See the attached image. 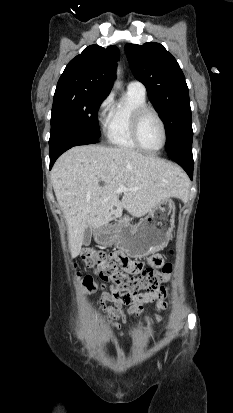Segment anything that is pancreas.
Listing matches in <instances>:
<instances>
[{"label":"pancreas","instance_id":"1","mask_svg":"<svg viewBox=\"0 0 233 413\" xmlns=\"http://www.w3.org/2000/svg\"><path fill=\"white\" fill-rule=\"evenodd\" d=\"M131 221V219L127 216H125L124 218H122L119 223L123 224V223H129Z\"/></svg>","mask_w":233,"mask_h":413}]
</instances>
